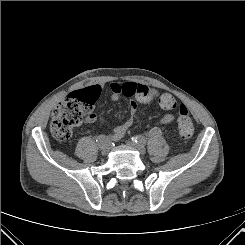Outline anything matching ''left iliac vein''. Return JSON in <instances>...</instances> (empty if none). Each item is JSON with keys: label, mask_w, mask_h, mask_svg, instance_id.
Returning <instances> with one entry per match:
<instances>
[{"label": "left iliac vein", "mask_w": 245, "mask_h": 245, "mask_svg": "<svg viewBox=\"0 0 245 245\" xmlns=\"http://www.w3.org/2000/svg\"><path fill=\"white\" fill-rule=\"evenodd\" d=\"M128 144L134 148L135 150H137L141 155H144L146 153V149L144 147L143 144H139V143H136V142H128Z\"/></svg>", "instance_id": "obj_1"}]
</instances>
